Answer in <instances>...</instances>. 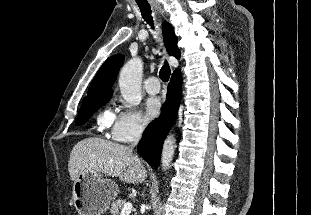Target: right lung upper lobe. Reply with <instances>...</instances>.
Here are the masks:
<instances>
[{
	"instance_id": "cb5924a9",
	"label": "right lung upper lobe",
	"mask_w": 311,
	"mask_h": 215,
	"mask_svg": "<svg viewBox=\"0 0 311 215\" xmlns=\"http://www.w3.org/2000/svg\"><path fill=\"white\" fill-rule=\"evenodd\" d=\"M164 42L169 55L175 56L177 59L180 58V52L177 48V36L174 33V29L171 24L165 22L162 26ZM124 62V56L116 54L109 57L95 75L87 96L83 99V102L97 97L112 96L113 85L119 69ZM179 69H175L177 71Z\"/></svg>"
}]
</instances>
